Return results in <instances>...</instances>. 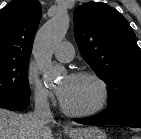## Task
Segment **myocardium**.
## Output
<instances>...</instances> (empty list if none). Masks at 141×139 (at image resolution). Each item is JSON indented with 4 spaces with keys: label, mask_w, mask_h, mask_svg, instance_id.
Wrapping results in <instances>:
<instances>
[{
    "label": "myocardium",
    "mask_w": 141,
    "mask_h": 139,
    "mask_svg": "<svg viewBox=\"0 0 141 139\" xmlns=\"http://www.w3.org/2000/svg\"><path fill=\"white\" fill-rule=\"evenodd\" d=\"M70 77H74V78H90L92 80H94L101 91V97L100 100L98 102V104L96 106H94L91 109L88 110H72L70 108H68L62 101V99H60V107L61 110L69 115V116H73V117H89V116H93L96 115L98 113H100L101 111H103L108 102H109V88L107 83L105 82V80L99 76L97 73L93 72V71H89V70H80V71H75L73 73L70 74Z\"/></svg>",
    "instance_id": "obj_1"
}]
</instances>
